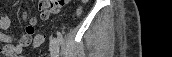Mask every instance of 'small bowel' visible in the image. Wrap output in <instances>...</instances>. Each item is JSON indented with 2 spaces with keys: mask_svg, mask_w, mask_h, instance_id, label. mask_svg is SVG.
<instances>
[{
  "mask_svg": "<svg viewBox=\"0 0 172 57\" xmlns=\"http://www.w3.org/2000/svg\"><path fill=\"white\" fill-rule=\"evenodd\" d=\"M68 3V0H40L38 8L41 10L40 19L46 21L52 13H57ZM38 20L31 18L29 24L25 26L23 33L19 37L7 34L4 31L11 25V20L7 15L0 17V53L7 57L19 56L27 46L39 47L44 37L40 34L35 35Z\"/></svg>",
  "mask_w": 172,
  "mask_h": 57,
  "instance_id": "c3829d8e",
  "label": "small bowel"
}]
</instances>
